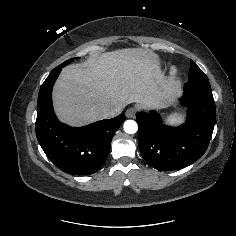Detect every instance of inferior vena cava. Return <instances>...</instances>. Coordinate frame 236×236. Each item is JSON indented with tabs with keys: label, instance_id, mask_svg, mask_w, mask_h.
<instances>
[{
	"label": "inferior vena cava",
	"instance_id": "1",
	"mask_svg": "<svg viewBox=\"0 0 236 236\" xmlns=\"http://www.w3.org/2000/svg\"><path fill=\"white\" fill-rule=\"evenodd\" d=\"M122 111L121 107H116L114 109H109L103 113V118H113L120 114Z\"/></svg>",
	"mask_w": 236,
	"mask_h": 236
}]
</instances>
